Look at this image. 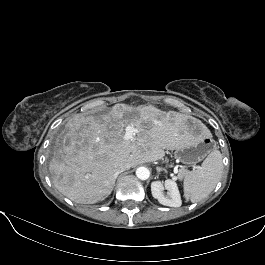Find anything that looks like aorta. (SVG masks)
I'll return each instance as SVG.
<instances>
[{
	"instance_id": "762f6f07",
	"label": "aorta",
	"mask_w": 265,
	"mask_h": 265,
	"mask_svg": "<svg viewBox=\"0 0 265 265\" xmlns=\"http://www.w3.org/2000/svg\"><path fill=\"white\" fill-rule=\"evenodd\" d=\"M136 176L140 179V180H147L150 176V171L148 168L146 167H139L136 170Z\"/></svg>"
}]
</instances>
